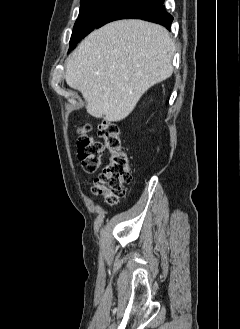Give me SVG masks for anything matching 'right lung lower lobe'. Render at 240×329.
Listing matches in <instances>:
<instances>
[{
	"label": "right lung lower lobe",
	"mask_w": 240,
	"mask_h": 329,
	"mask_svg": "<svg viewBox=\"0 0 240 329\" xmlns=\"http://www.w3.org/2000/svg\"><path fill=\"white\" fill-rule=\"evenodd\" d=\"M163 3L164 0H120L95 28L119 19H141L170 29L173 17L165 11Z\"/></svg>",
	"instance_id": "right-lung-lower-lobe-1"
}]
</instances>
